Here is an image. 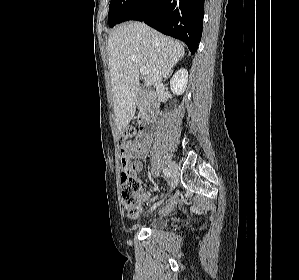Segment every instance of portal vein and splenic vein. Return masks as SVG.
<instances>
[{"instance_id": "18ae733b", "label": "portal vein and splenic vein", "mask_w": 299, "mask_h": 280, "mask_svg": "<svg viewBox=\"0 0 299 280\" xmlns=\"http://www.w3.org/2000/svg\"><path fill=\"white\" fill-rule=\"evenodd\" d=\"M140 73L142 75H147L149 74V70L146 67H140Z\"/></svg>"}]
</instances>
